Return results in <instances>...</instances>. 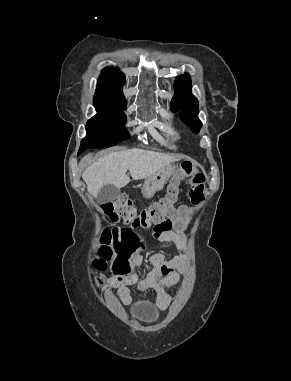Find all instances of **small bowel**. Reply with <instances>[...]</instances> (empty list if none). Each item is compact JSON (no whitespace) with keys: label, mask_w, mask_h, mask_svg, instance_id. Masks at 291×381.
I'll use <instances>...</instances> for the list:
<instances>
[{"label":"small bowel","mask_w":291,"mask_h":381,"mask_svg":"<svg viewBox=\"0 0 291 381\" xmlns=\"http://www.w3.org/2000/svg\"><path fill=\"white\" fill-rule=\"evenodd\" d=\"M191 212L192 209L189 206H179L168 220L170 228L167 230L154 229L152 233L153 238L159 242L173 243L180 252L177 256L166 259L164 253H156L150 257L149 262L153 272L148 277L139 279L135 275H114L108 278L104 288L116 290L119 300L124 305L132 304L131 286H136L141 291L154 290L157 294L155 308L165 310L171 301L169 290L179 281L180 276H186L189 272L185 230ZM141 263L142 257L139 254L133 253L130 256V265L138 266ZM158 273L164 275L162 280L157 279ZM96 284L102 286L103 282L96 279Z\"/></svg>","instance_id":"obj_1"}]
</instances>
